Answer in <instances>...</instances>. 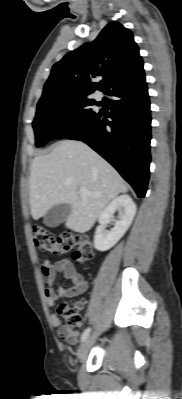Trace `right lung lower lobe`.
I'll return each mask as SVG.
<instances>
[{"label": "right lung lower lobe", "instance_id": "right-lung-lower-lobe-1", "mask_svg": "<svg viewBox=\"0 0 182 399\" xmlns=\"http://www.w3.org/2000/svg\"><path fill=\"white\" fill-rule=\"evenodd\" d=\"M110 112L96 113L80 130L63 137L88 144L131 184L139 198L149 180L151 116L145 75L119 82L106 92Z\"/></svg>", "mask_w": 182, "mask_h": 399}]
</instances>
